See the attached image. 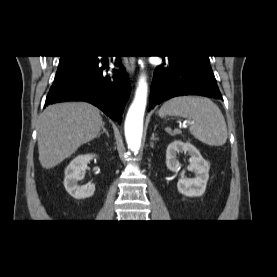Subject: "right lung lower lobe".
<instances>
[{
	"label": "right lung lower lobe",
	"mask_w": 277,
	"mask_h": 277,
	"mask_svg": "<svg viewBox=\"0 0 277 277\" xmlns=\"http://www.w3.org/2000/svg\"><path fill=\"white\" fill-rule=\"evenodd\" d=\"M117 57L116 63H121L120 56ZM108 69V59L96 57L87 65L55 81L45 106L60 101L82 100L92 103L120 123L131 87L122 65L114 76L106 75Z\"/></svg>",
	"instance_id": "1"
}]
</instances>
